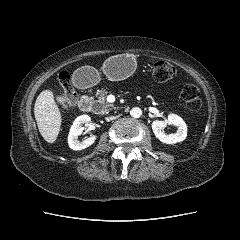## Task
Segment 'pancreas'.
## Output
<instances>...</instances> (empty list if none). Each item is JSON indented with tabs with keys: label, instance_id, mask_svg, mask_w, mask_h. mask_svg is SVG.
Here are the masks:
<instances>
[{
	"label": "pancreas",
	"instance_id": "pancreas-1",
	"mask_svg": "<svg viewBox=\"0 0 240 240\" xmlns=\"http://www.w3.org/2000/svg\"><path fill=\"white\" fill-rule=\"evenodd\" d=\"M107 94L108 91L105 89L97 90L96 93L97 100L93 101V108L95 113L104 114L114 108V104L107 103L106 101Z\"/></svg>",
	"mask_w": 240,
	"mask_h": 240
}]
</instances>
